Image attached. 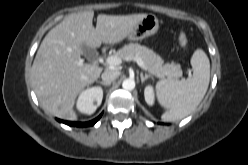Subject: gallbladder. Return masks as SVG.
Here are the masks:
<instances>
[{"label":"gallbladder","instance_id":"gallbladder-1","mask_svg":"<svg viewBox=\"0 0 248 165\" xmlns=\"http://www.w3.org/2000/svg\"><path fill=\"white\" fill-rule=\"evenodd\" d=\"M83 49H84V54H85L89 59H91V60L96 59V57H97V52H96L94 49L89 48V47H86V46H84Z\"/></svg>","mask_w":248,"mask_h":165}]
</instances>
